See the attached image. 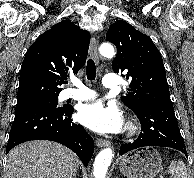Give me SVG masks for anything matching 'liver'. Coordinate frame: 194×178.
I'll list each match as a JSON object with an SVG mask.
<instances>
[{
    "mask_svg": "<svg viewBox=\"0 0 194 178\" xmlns=\"http://www.w3.org/2000/svg\"><path fill=\"white\" fill-rule=\"evenodd\" d=\"M80 165L77 155L52 141H29L7 155L5 178H72Z\"/></svg>",
    "mask_w": 194,
    "mask_h": 178,
    "instance_id": "obj_1",
    "label": "liver"
}]
</instances>
